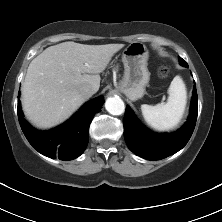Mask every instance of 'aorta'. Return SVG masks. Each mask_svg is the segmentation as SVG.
<instances>
[{"label":"aorta","mask_w":222,"mask_h":222,"mask_svg":"<svg viewBox=\"0 0 222 222\" xmlns=\"http://www.w3.org/2000/svg\"><path fill=\"white\" fill-rule=\"evenodd\" d=\"M105 108L112 115H121L125 111V104L119 97H109L105 102Z\"/></svg>","instance_id":"obj_1"}]
</instances>
